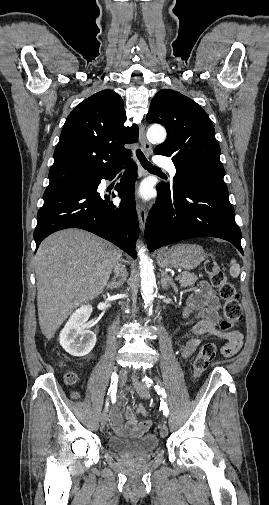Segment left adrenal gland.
I'll use <instances>...</instances> for the list:
<instances>
[{
	"instance_id": "left-adrenal-gland-1",
	"label": "left adrenal gland",
	"mask_w": 269,
	"mask_h": 505,
	"mask_svg": "<svg viewBox=\"0 0 269 505\" xmlns=\"http://www.w3.org/2000/svg\"><path fill=\"white\" fill-rule=\"evenodd\" d=\"M161 286L164 290H167L169 286H172L174 292H178V288L173 279L169 277L165 271L161 272Z\"/></svg>"
}]
</instances>
